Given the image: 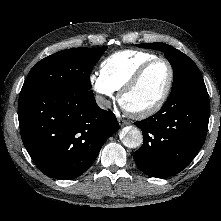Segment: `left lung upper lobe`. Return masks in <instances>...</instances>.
Masks as SVG:
<instances>
[{"label": "left lung upper lobe", "mask_w": 221, "mask_h": 221, "mask_svg": "<svg viewBox=\"0 0 221 221\" xmlns=\"http://www.w3.org/2000/svg\"><path fill=\"white\" fill-rule=\"evenodd\" d=\"M137 46L164 52L174 73L170 95L186 91H206V86L198 67L181 51L165 43H146L137 44Z\"/></svg>", "instance_id": "5c2ea615"}]
</instances>
